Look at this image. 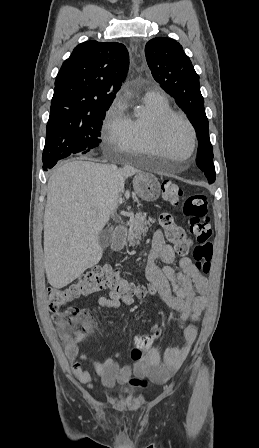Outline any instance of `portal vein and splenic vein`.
Listing matches in <instances>:
<instances>
[{"instance_id":"obj_1","label":"portal vein and splenic vein","mask_w":259,"mask_h":448,"mask_svg":"<svg viewBox=\"0 0 259 448\" xmlns=\"http://www.w3.org/2000/svg\"><path fill=\"white\" fill-rule=\"evenodd\" d=\"M91 216H96V212H95V210H92V212H91Z\"/></svg>"}]
</instances>
